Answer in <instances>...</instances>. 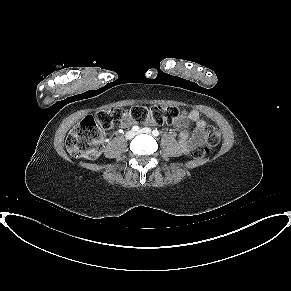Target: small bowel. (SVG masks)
I'll return each instance as SVG.
<instances>
[{"label":"small bowel","instance_id":"small-bowel-1","mask_svg":"<svg viewBox=\"0 0 291 291\" xmlns=\"http://www.w3.org/2000/svg\"><path fill=\"white\" fill-rule=\"evenodd\" d=\"M186 121L194 123V129L192 132H181L179 135V144L183 150L190 151L194 147L201 146L204 143L205 136V122L200 118L199 112L192 110L189 112H183L182 116L173 121L178 127H183ZM132 124V120L128 117L124 118L120 123L121 127H128Z\"/></svg>","mask_w":291,"mask_h":291}]
</instances>
